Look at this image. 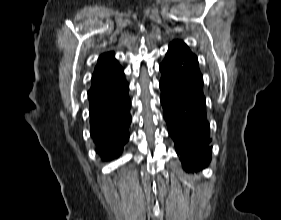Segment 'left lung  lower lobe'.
Here are the masks:
<instances>
[{"mask_svg": "<svg viewBox=\"0 0 281 220\" xmlns=\"http://www.w3.org/2000/svg\"><path fill=\"white\" fill-rule=\"evenodd\" d=\"M160 71L163 114L183 168L203 169L211 160V148L203 76L197 57L189 49H170Z\"/></svg>", "mask_w": 281, "mask_h": 220, "instance_id": "obj_1", "label": "left lung lower lobe"}]
</instances>
